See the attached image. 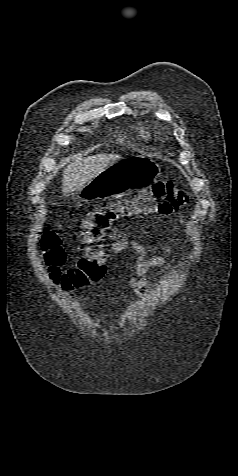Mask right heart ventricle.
I'll return each mask as SVG.
<instances>
[{"label": "right heart ventricle", "instance_id": "right-heart-ventricle-1", "mask_svg": "<svg viewBox=\"0 0 238 476\" xmlns=\"http://www.w3.org/2000/svg\"><path fill=\"white\" fill-rule=\"evenodd\" d=\"M139 130H140L141 135L145 137L147 132L143 128H140Z\"/></svg>", "mask_w": 238, "mask_h": 476}]
</instances>
